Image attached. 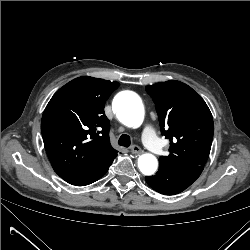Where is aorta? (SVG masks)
<instances>
[{
  "instance_id": "aorta-1",
  "label": "aorta",
  "mask_w": 250,
  "mask_h": 250,
  "mask_svg": "<svg viewBox=\"0 0 250 250\" xmlns=\"http://www.w3.org/2000/svg\"><path fill=\"white\" fill-rule=\"evenodd\" d=\"M113 110L121 114L122 122L129 127L140 125L144 119V106L140 97L130 91L119 93L113 101ZM138 167L144 175H152L158 167L156 157L150 153L138 158Z\"/></svg>"
}]
</instances>
